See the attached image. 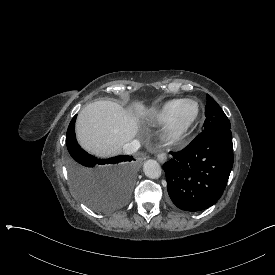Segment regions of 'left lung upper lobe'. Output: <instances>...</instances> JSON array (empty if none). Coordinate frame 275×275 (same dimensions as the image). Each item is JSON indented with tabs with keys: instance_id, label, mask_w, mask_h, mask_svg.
I'll return each mask as SVG.
<instances>
[{
	"instance_id": "obj_1",
	"label": "left lung upper lobe",
	"mask_w": 275,
	"mask_h": 275,
	"mask_svg": "<svg viewBox=\"0 0 275 275\" xmlns=\"http://www.w3.org/2000/svg\"><path fill=\"white\" fill-rule=\"evenodd\" d=\"M205 111V122L204 128L205 130H212L219 127H227L231 128L230 122L222 111L220 106L216 103V101L207 94V105Z\"/></svg>"
}]
</instances>
